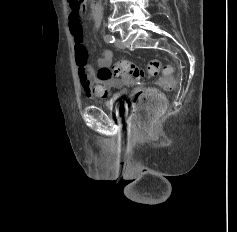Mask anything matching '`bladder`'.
Segmentation results:
<instances>
[{
	"label": "bladder",
	"mask_w": 237,
	"mask_h": 232,
	"mask_svg": "<svg viewBox=\"0 0 237 232\" xmlns=\"http://www.w3.org/2000/svg\"><path fill=\"white\" fill-rule=\"evenodd\" d=\"M125 93L121 92L120 96H124ZM106 106L110 109H112L115 114L119 117H125L126 116V111H127V101L124 99H118L114 100L111 103H106Z\"/></svg>",
	"instance_id": "bladder-1"
}]
</instances>
